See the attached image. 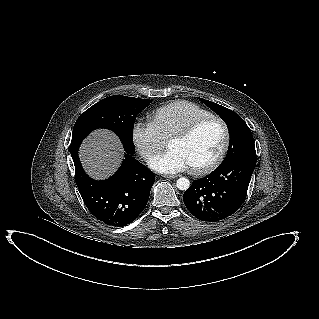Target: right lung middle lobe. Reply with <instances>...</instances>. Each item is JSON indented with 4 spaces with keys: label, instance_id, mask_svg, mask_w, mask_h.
<instances>
[{
    "label": "right lung middle lobe",
    "instance_id": "1",
    "mask_svg": "<svg viewBox=\"0 0 319 319\" xmlns=\"http://www.w3.org/2000/svg\"><path fill=\"white\" fill-rule=\"evenodd\" d=\"M152 100L121 95L107 97L82 113L73 129L70 147L80 145L81 141L97 128H107L121 139L125 151L134 154L133 127L136 116Z\"/></svg>",
    "mask_w": 319,
    "mask_h": 319
}]
</instances>
